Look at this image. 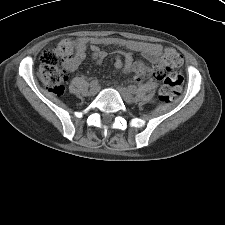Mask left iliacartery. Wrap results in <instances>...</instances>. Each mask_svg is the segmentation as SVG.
Wrapping results in <instances>:
<instances>
[{"mask_svg":"<svg viewBox=\"0 0 225 225\" xmlns=\"http://www.w3.org/2000/svg\"><path fill=\"white\" fill-rule=\"evenodd\" d=\"M129 90H130L132 93H135V92H136V86L130 85V86H129Z\"/></svg>","mask_w":225,"mask_h":225,"instance_id":"1","label":"left iliac artery"}]
</instances>
